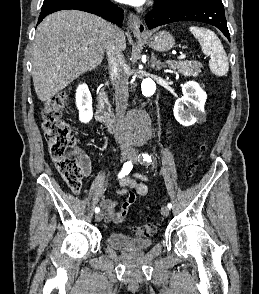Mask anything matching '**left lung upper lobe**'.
I'll return each mask as SVG.
<instances>
[{
	"label": "left lung upper lobe",
	"instance_id": "left-lung-upper-lobe-1",
	"mask_svg": "<svg viewBox=\"0 0 259 294\" xmlns=\"http://www.w3.org/2000/svg\"><path fill=\"white\" fill-rule=\"evenodd\" d=\"M164 1V6L165 7H169V6H172L174 4H177V3H180V2H183V1H186V0H162Z\"/></svg>",
	"mask_w": 259,
	"mask_h": 294
}]
</instances>
